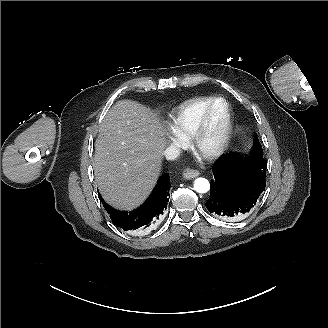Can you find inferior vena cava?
Instances as JSON below:
<instances>
[{
    "label": "inferior vena cava",
    "mask_w": 328,
    "mask_h": 328,
    "mask_svg": "<svg viewBox=\"0 0 328 328\" xmlns=\"http://www.w3.org/2000/svg\"><path fill=\"white\" fill-rule=\"evenodd\" d=\"M180 153H181V149L178 146L171 144L165 149L164 156L166 160L173 161L180 156Z\"/></svg>",
    "instance_id": "obj_1"
}]
</instances>
